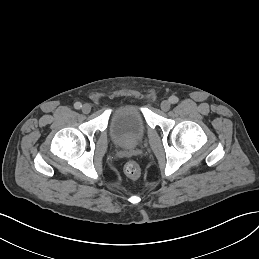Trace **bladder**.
Masks as SVG:
<instances>
[{"label": "bladder", "mask_w": 259, "mask_h": 259, "mask_svg": "<svg viewBox=\"0 0 259 259\" xmlns=\"http://www.w3.org/2000/svg\"><path fill=\"white\" fill-rule=\"evenodd\" d=\"M146 134V123L138 104L126 102L117 106L110 119V136L120 146L140 143Z\"/></svg>", "instance_id": "31cf9c89"}]
</instances>
